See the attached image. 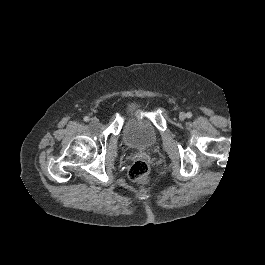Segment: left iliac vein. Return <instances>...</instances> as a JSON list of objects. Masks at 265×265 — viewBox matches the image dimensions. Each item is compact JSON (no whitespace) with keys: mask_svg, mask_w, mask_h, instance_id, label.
Wrapping results in <instances>:
<instances>
[{"mask_svg":"<svg viewBox=\"0 0 265 265\" xmlns=\"http://www.w3.org/2000/svg\"><path fill=\"white\" fill-rule=\"evenodd\" d=\"M185 118H186V114H185L184 112H181V113L179 114V119H180V120H185Z\"/></svg>","mask_w":265,"mask_h":265,"instance_id":"4c4485c4","label":"left iliac vein"}]
</instances>
